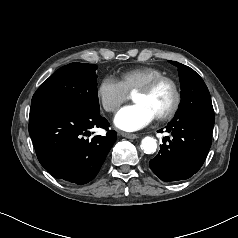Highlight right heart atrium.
I'll use <instances>...</instances> for the list:
<instances>
[{
	"label": "right heart atrium",
	"mask_w": 238,
	"mask_h": 238,
	"mask_svg": "<svg viewBox=\"0 0 238 238\" xmlns=\"http://www.w3.org/2000/svg\"><path fill=\"white\" fill-rule=\"evenodd\" d=\"M97 98L107 112H115L127 100L128 94L114 77H104L97 87Z\"/></svg>",
	"instance_id": "1"
}]
</instances>
